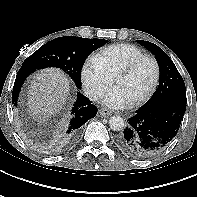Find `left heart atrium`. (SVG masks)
<instances>
[{"label":"left heart atrium","mask_w":197,"mask_h":197,"mask_svg":"<svg viewBox=\"0 0 197 197\" xmlns=\"http://www.w3.org/2000/svg\"><path fill=\"white\" fill-rule=\"evenodd\" d=\"M103 103L109 107L121 108L129 104V101L121 89L114 87L104 95Z\"/></svg>","instance_id":"obj_1"}]
</instances>
